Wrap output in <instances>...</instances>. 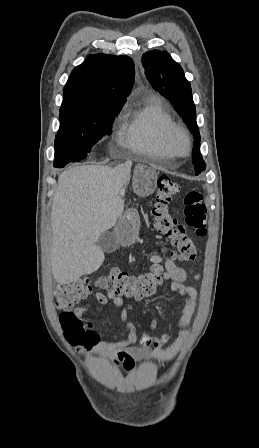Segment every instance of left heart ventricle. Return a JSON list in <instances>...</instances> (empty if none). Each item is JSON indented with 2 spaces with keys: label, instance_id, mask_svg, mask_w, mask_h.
Listing matches in <instances>:
<instances>
[{
  "label": "left heart ventricle",
  "instance_id": "b2bd125f",
  "mask_svg": "<svg viewBox=\"0 0 259 448\" xmlns=\"http://www.w3.org/2000/svg\"><path fill=\"white\" fill-rule=\"evenodd\" d=\"M184 145L185 142L181 136H177L175 138V146L176 150H172L170 152L165 153V159L167 160L166 163L169 162H178L184 157ZM163 152L159 150H148L145 152V154L151 158L157 159L161 156Z\"/></svg>",
  "mask_w": 259,
  "mask_h": 448
}]
</instances>
